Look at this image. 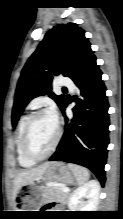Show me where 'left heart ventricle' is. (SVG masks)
<instances>
[{
    "mask_svg": "<svg viewBox=\"0 0 123 219\" xmlns=\"http://www.w3.org/2000/svg\"><path fill=\"white\" fill-rule=\"evenodd\" d=\"M56 136V122L51 115L44 114L35 118L29 133V148L36 154L45 153Z\"/></svg>",
    "mask_w": 123,
    "mask_h": 219,
    "instance_id": "b2bd125f",
    "label": "left heart ventricle"
}]
</instances>
